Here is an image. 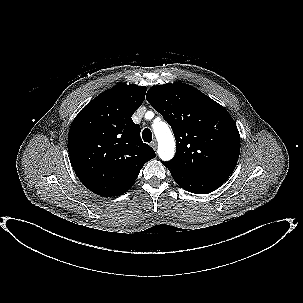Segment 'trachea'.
Here are the masks:
<instances>
[{
	"mask_svg": "<svg viewBox=\"0 0 303 303\" xmlns=\"http://www.w3.org/2000/svg\"><path fill=\"white\" fill-rule=\"evenodd\" d=\"M144 142L150 143L152 141V132L150 129L145 128L142 132Z\"/></svg>",
	"mask_w": 303,
	"mask_h": 303,
	"instance_id": "1",
	"label": "trachea"
}]
</instances>
